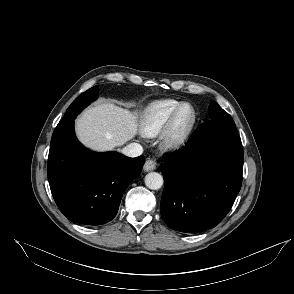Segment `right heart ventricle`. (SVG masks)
Instances as JSON below:
<instances>
[{
    "label": "right heart ventricle",
    "instance_id": "right-heart-ventricle-1",
    "mask_svg": "<svg viewBox=\"0 0 294 294\" xmlns=\"http://www.w3.org/2000/svg\"><path fill=\"white\" fill-rule=\"evenodd\" d=\"M181 103L174 99H161L150 103L142 116V133L148 137L156 136Z\"/></svg>",
    "mask_w": 294,
    "mask_h": 294
}]
</instances>
